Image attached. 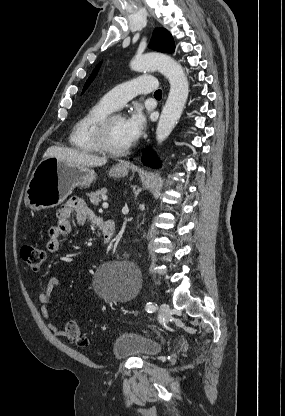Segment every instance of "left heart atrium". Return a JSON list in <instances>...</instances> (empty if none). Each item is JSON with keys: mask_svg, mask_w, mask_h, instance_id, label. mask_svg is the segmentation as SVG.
<instances>
[{"mask_svg": "<svg viewBox=\"0 0 285 416\" xmlns=\"http://www.w3.org/2000/svg\"><path fill=\"white\" fill-rule=\"evenodd\" d=\"M145 127V118L138 109L133 110L127 117L123 118V132L128 144L137 141Z\"/></svg>", "mask_w": 285, "mask_h": 416, "instance_id": "left-heart-atrium-1", "label": "left heart atrium"}]
</instances>
